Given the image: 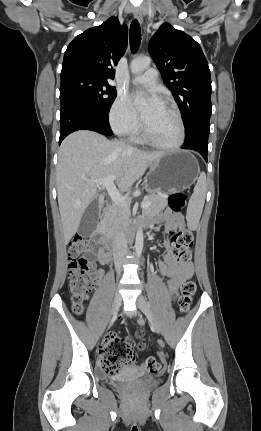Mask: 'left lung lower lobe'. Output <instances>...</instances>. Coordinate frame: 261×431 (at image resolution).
Returning a JSON list of instances; mask_svg holds the SVG:
<instances>
[{
  "instance_id": "1",
  "label": "left lung lower lobe",
  "mask_w": 261,
  "mask_h": 431,
  "mask_svg": "<svg viewBox=\"0 0 261 431\" xmlns=\"http://www.w3.org/2000/svg\"><path fill=\"white\" fill-rule=\"evenodd\" d=\"M209 131V122L203 121L198 123L186 134V139L182 148L198 151L207 162Z\"/></svg>"
}]
</instances>
